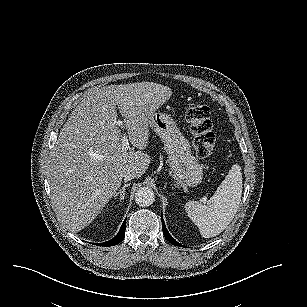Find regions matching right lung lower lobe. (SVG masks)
I'll return each mask as SVG.
<instances>
[{
	"label": "right lung lower lobe",
	"mask_w": 307,
	"mask_h": 307,
	"mask_svg": "<svg viewBox=\"0 0 307 307\" xmlns=\"http://www.w3.org/2000/svg\"><path fill=\"white\" fill-rule=\"evenodd\" d=\"M125 221L123 222L118 234L113 239H111L107 242H103V243H94V245L108 247V246H114V245L118 244L119 242H121L125 237V228H126L125 227Z\"/></svg>",
	"instance_id": "right-lung-lower-lobe-1"
}]
</instances>
